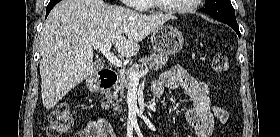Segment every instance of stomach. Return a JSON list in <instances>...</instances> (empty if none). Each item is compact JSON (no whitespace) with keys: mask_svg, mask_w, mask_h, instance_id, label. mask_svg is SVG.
Here are the masks:
<instances>
[{"mask_svg":"<svg viewBox=\"0 0 280 137\" xmlns=\"http://www.w3.org/2000/svg\"><path fill=\"white\" fill-rule=\"evenodd\" d=\"M150 39L153 49L163 56L178 53L184 44L182 33L171 25H162L152 32Z\"/></svg>","mask_w":280,"mask_h":137,"instance_id":"0dacf381","label":"stomach"}]
</instances>
